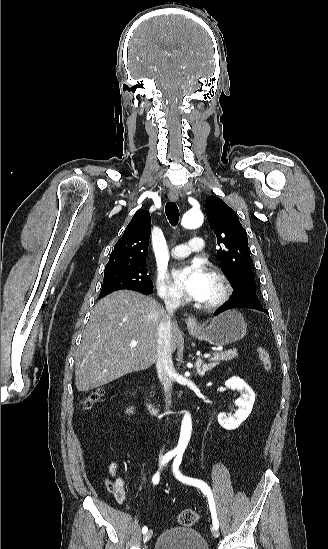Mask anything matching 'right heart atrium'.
Here are the masks:
<instances>
[{"label":"right heart atrium","mask_w":328,"mask_h":549,"mask_svg":"<svg viewBox=\"0 0 328 549\" xmlns=\"http://www.w3.org/2000/svg\"><path fill=\"white\" fill-rule=\"evenodd\" d=\"M156 285L158 294L165 303H182L180 297L169 284L165 273L159 272L157 274Z\"/></svg>","instance_id":"right-heart-atrium-1"}]
</instances>
